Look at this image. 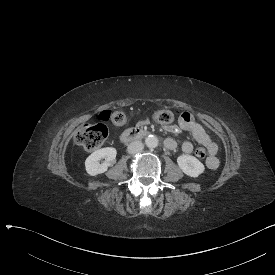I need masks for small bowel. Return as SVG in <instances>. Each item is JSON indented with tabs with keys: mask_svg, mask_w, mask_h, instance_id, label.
<instances>
[{
	"mask_svg": "<svg viewBox=\"0 0 275 275\" xmlns=\"http://www.w3.org/2000/svg\"><path fill=\"white\" fill-rule=\"evenodd\" d=\"M168 131L171 133H178L181 130H185L191 133L194 140L205 147L209 152V157L206 160V166L215 170L219 166V160L216 156L217 154V145L211 139V137L207 134L204 128L193 118V116L188 112H183L179 118L178 125H170L167 127ZM170 139V144L166 146L168 149H175L177 147V143L175 140ZM193 143L190 141H184L181 144V150L185 154H190L193 151Z\"/></svg>",
	"mask_w": 275,
	"mask_h": 275,
	"instance_id": "small-bowel-1",
	"label": "small bowel"
}]
</instances>
